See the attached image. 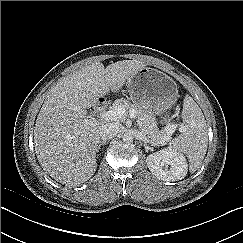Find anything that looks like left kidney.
<instances>
[{
    "instance_id": "1",
    "label": "left kidney",
    "mask_w": 243,
    "mask_h": 243,
    "mask_svg": "<svg viewBox=\"0 0 243 243\" xmlns=\"http://www.w3.org/2000/svg\"><path fill=\"white\" fill-rule=\"evenodd\" d=\"M146 163L151 173L164 181L182 180L187 174L188 164L185 156L170 149L148 155Z\"/></svg>"
}]
</instances>
